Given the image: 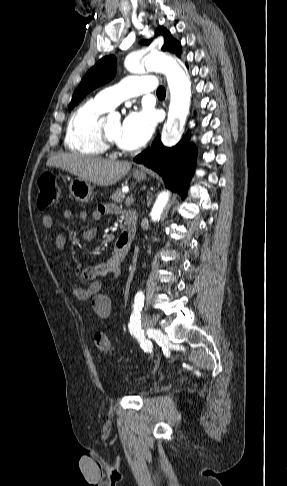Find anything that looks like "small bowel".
I'll list each match as a JSON object with an SVG mask.
<instances>
[{
	"mask_svg": "<svg viewBox=\"0 0 287 486\" xmlns=\"http://www.w3.org/2000/svg\"><path fill=\"white\" fill-rule=\"evenodd\" d=\"M118 212V208L112 204H101L95 209L91 216L94 220L101 219L104 215L114 214ZM63 217L67 220L84 221L87 218V212L84 210H65ZM42 224L45 229H53L54 220L51 215H44ZM97 235V228L91 227L85 229L81 236L85 241L93 240ZM68 241V236L65 233H59L55 237L54 246L58 251H62ZM128 250L119 252L115 247L112 255L104 262L99 264L86 266L81 269L79 276L82 280L88 281L86 287H74L72 294L80 301L92 300V307L96 315L102 319L110 316L112 311V303L110 295L103 290L104 279L112 275L115 279L119 276L120 267L127 256Z\"/></svg>",
	"mask_w": 287,
	"mask_h": 486,
	"instance_id": "1",
	"label": "small bowel"
}]
</instances>
